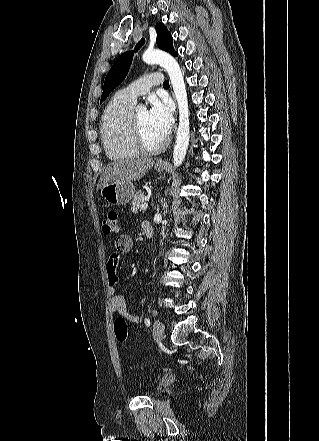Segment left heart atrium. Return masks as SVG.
I'll use <instances>...</instances> for the list:
<instances>
[{
  "label": "left heart atrium",
  "instance_id": "39dd6f15",
  "mask_svg": "<svg viewBox=\"0 0 319 441\" xmlns=\"http://www.w3.org/2000/svg\"><path fill=\"white\" fill-rule=\"evenodd\" d=\"M148 117L154 131L161 138L164 139L169 135L173 125V116L167 102L152 99Z\"/></svg>",
  "mask_w": 319,
  "mask_h": 441
}]
</instances>
